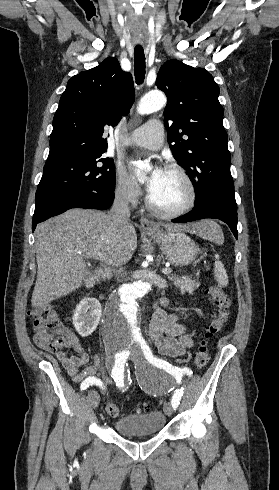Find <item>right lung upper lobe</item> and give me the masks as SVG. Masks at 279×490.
<instances>
[{"mask_svg": "<svg viewBox=\"0 0 279 490\" xmlns=\"http://www.w3.org/2000/svg\"><path fill=\"white\" fill-rule=\"evenodd\" d=\"M134 98L132 75L122 71L116 58L72 77L53 119L46 162L106 150L104 126H116Z\"/></svg>", "mask_w": 279, "mask_h": 490, "instance_id": "right-lung-upper-lobe-1", "label": "right lung upper lobe"}]
</instances>
